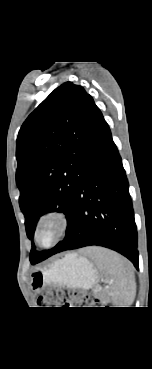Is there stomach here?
<instances>
[{"instance_id": "obj_1", "label": "stomach", "mask_w": 152, "mask_h": 369, "mask_svg": "<svg viewBox=\"0 0 152 369\" xmlns=\"http://www.w3.org/2000/svg\"><path fill=\"white\" fill-rule=\"evenodd\" d=\"M98 279L99 274L89 260L69 254L46 269L36 270L31 276V284L36 291L52 284L89 289Z\"/></svg>"}]
</instances>
